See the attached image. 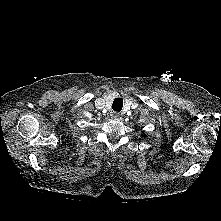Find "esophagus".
Here are the masks:
<instances>
[{
    "mask_svg": "<svg viewBox=\"0 0 221 221\" xmlns=\"http://www.w3.org/2000/svg\"><path fill=\"white\" fill-rule=\"evenodd\" d=\"M113 118H115V119H116V118H117V119L120 118V113H119V112H114V113H113Z\"/></svg>",
    "mask_w": 221,
    "mask_h": 221,
    "instance_id": "obj_1",
    "label": "esophagus"
}]
</instances>
